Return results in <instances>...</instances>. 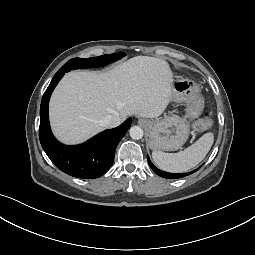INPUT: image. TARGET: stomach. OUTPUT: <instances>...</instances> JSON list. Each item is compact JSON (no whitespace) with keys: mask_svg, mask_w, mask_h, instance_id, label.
Here are the masks:
<instances>
[{"mask_svg":"<svg viewBox=\"0 0 255 255\" xmlns=\"http://www.w3.org/2000/svg\"><path fill=\"white\" fill-rule=\"evenodd\" d=\"M199 86L192 80H176L173 84L172 101L187 104L184 117L166 116L161 120H142L149 135L148 145L154 151L180 149L190 133L189 121L200 116L204 101Z\"/></svg>","mask_w":255,"mask_h":255,"instance_id":"1","label":"stomach"}]
</instances>
